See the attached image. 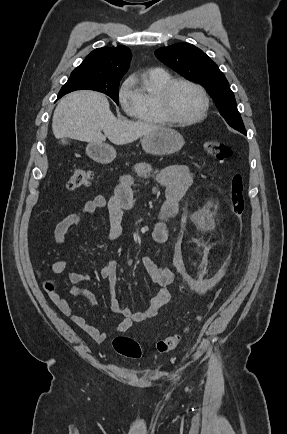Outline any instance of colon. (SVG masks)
I'll use <instances>...</instances> for the list:
<instances>
[{"instance_id": "1", "label": "colon", "mask_w": 287, "mask_h": 434, "mask_svg": "<svg viewBox=\"0 0 287 434\" xmlns=\"http://www.w3.org/2000/svg\"><path fill=\"white\" fill-rule=\"evenodd\" d=\"M204 148L208 154L219 161H226L231 158V149L219 141L209 140L204 143ZM92 172L84 167H78L74 170L73 174L67 182L69 190H76L85 187L92 181ZM229 202L232 215L240 220L245 211V198H244V182L240 174H234L229 189ZM45 289L50 294H55V284L53 282H46ZM219 289L215 290L212 298L214 299L219 294ZM212 306V301L208 303L207 307ZM200 319V317H198ZM187 332L184 329L181 333L172 334L157 342L156 348L160 353H167L173 350L180 342L182 336ZM114 350L127 358L137 359L141 356V347L139 343L133 338L127 336H117L113 339Z\"/></svg>"}]
</instances>
